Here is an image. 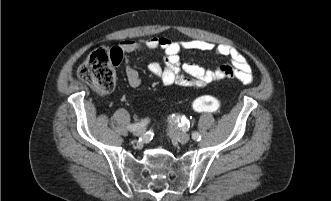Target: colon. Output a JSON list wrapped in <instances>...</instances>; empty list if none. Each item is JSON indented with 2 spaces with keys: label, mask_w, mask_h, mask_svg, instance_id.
Here are the masks:
<instances>
[{
  "label": "colon",
  "mask_w": 331,
  "mask_h": 201,
  "mask_svg": "<svg viewBox=\"0 0 331 201\" xmlns=\"http://www.w3.org/2000/svg\"><path fill=\"white\" fill-rule=\"evenodd\" d=\"M115 60L113 54L98 48L90 53L78 69V77L97 93L106 95L115 87ZM221 100L213 95L196 98L192 107L197 112L215 113L221 109Z\"/></svg>",
  "instance_id": "colon-1"
}]
</instances>
